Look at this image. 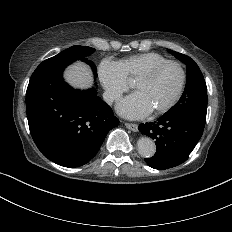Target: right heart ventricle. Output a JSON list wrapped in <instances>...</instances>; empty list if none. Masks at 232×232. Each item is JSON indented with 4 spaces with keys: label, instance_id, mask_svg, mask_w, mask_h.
<instances>
[{
    "label": "right heart ventricle",
    "instance_id": "e07e8e85",
    "mask_svg": "<svg viewBox=\"0 0 232 232\" xmlns=\"http://www.w3.org/2000/svg\"><path fill=\"white\" fill-rule=\"evenodd\" d=\"M165 60H168L167 57L159 52L144 51L121 59L118 63L124 80L126 83H130L156 64Z\"/></svg>",
    "mask_w": 232,
    "mask_h": 232
}]
</instances>
